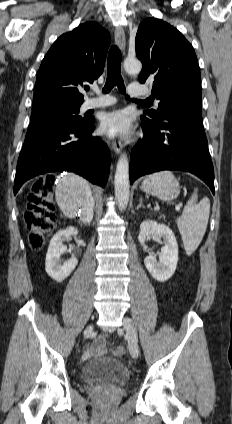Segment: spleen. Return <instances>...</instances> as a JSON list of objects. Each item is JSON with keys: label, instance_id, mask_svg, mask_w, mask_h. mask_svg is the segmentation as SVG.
Returning <instances> with one entry per match:
<instances>
[{"label": "spleen", "instance_id": "spleen-1", "mask_svg": "<svg viewBox=\"0 0 232 424\" xmlns=\"http://www.w3.org/2000/svg\"><path fill=\"white\" fill-rule=\"evenodd\" d=\"M197 198V189H195L182 215L176 221L187 255H191L201 243L210 214L209 199L204 197L197 203Z\"/></svg>", "mask_w": 232, "mask_h": 424}]
</instances>
